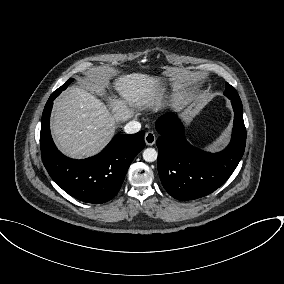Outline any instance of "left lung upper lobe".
<instances>
[{
  "mask_svg": "<svg viewBox=\"0 0 284 284\" xmlns=\"http://www.w3.org/2000/svg\"><path fill=\"white\" fill-rule=\"evenodd\" d=\"M224 95H226L229 99L240 101V97L237 91L229 83H226V89L224 91Z\"/></svg>",
  "mask_w": 284,
  "mask_h": 284,
  "instance_id": "5c2ea615",
  "label": "left lung upper lobe"
}]
</instances>
